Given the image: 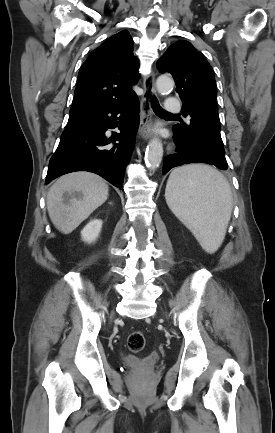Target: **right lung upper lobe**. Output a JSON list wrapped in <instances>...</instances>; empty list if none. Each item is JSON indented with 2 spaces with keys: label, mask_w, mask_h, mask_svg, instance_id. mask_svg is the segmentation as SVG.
<instances>
[{
  "label": "right lung upper lobe",
  "mask_w": 275,
  "mask_h": 433,
  "mask_svg": "<svg viewBox=\"0 0 275 433\" xmlns=\"http://www.w3.org/2000/svg\"><path fill=\"white\" fill-rule=\"evenodd\" d=\"M139 78L133 39L123 30L93 50L82 65L74 92L70 117L100 105L128 101Z\"/></svg>",
  "instance_id": "cb5924a9"
}]
</instances>
